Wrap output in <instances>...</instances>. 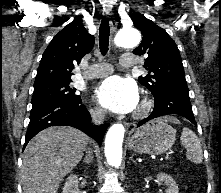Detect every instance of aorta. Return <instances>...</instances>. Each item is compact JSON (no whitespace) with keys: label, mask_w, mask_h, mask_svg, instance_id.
<instances>
[{"label":"aorta","mask_w":221,"mask_h":193,"mask_svg":"<svg viewBox=\"0 0 221 193\" xmlns=\"http://www.w3.org/2000/svg\"><path fill=\"white\" fill-rule=\"evenodd\" d=\"M141 35L134 28H125L118 32L115 43L119 47H134L140 43ZM125 129L122 124L111 126L105 138V156L107 162L115 168H118L122 162V143Z\"/></svg>","instance_id":"aorta-1"}]
</instances>
